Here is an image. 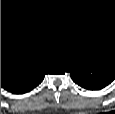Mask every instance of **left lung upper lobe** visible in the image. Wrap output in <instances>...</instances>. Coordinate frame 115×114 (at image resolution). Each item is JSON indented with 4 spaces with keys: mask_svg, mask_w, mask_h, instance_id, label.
<instances>
[{
    "mask_svg": "<svg viewBox=\"0 0 115 114\" xmlns=\"http://www.w3.org/2000/svg\"><path fill=\"white\" fill-rule=\"evenodd\" d=\"M95 60L115 69V38L107 43Z\"/></svg>",
    "mask_w": 115,
    "mask_h": 114,
    "instance_id": "left-lung-upper-lobe-1",
    "label": "left lung upper lobe"
}]
</instances>
